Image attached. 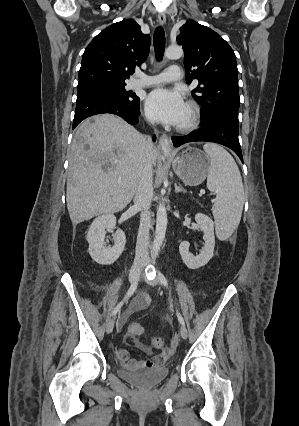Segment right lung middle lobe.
<instances>
[{"instance_id":"dd1d6c3e","label":"right lung middle lobe","mask_w":299,"mask_h":426,"mask_svg":"<svg viewBox=\"0 0 299 426\" xmlns=\"http://www.w3.org/2000/svg\"><path fill=\"white\" fill-rule=\"evenodd\" d=\"M126 84H88L78 86L77 95L84 92H96L103 93L115 98H118L124 102L133 104L138 102L139 98L130 91L124 89Z\"/></svg>"}]
</instances>
